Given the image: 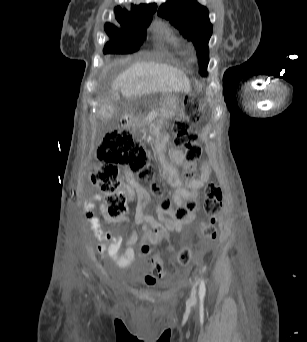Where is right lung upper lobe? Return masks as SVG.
<instances>
[{
    "label": "right lung upper lobe",
    "instance_id": "right-lung-upper-lobe-1",
    "mask_svg": "<svg viewBox=\"0 0 307 342\" xmlns=\"http://www.w3.org/2000/svg\"><path fill=\"white\" fill-rule=\"evenodd\" d=\"M156 11V4L132 5L131 12L123 10L121 7L115 8L116 20L123 31L111 23L105 24V31L108 35H131L143 36L152 20V14Z\"/></svg>",
    "mask_w": 307,
    "mask_h": 342
}]
</instances>
